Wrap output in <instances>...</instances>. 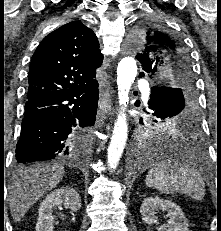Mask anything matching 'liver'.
<instances>
[{
    "instance_id": "1",
    "label": "liver",
    "mask_w": 221,
    "mask_h": 231,
    "mask_svg": "<svg viewBox=\"0 0 221 231\" xmlns=\"http://www.w3.org/2000/svg\"><path fill=\"white\" fill-rule=\"evenodd\" d=\"M62 164H34L18 169L8 184L10 213L20 222L28 210L48 191L55 188L64 176Z\"/></svg>"
}]
</instances>
